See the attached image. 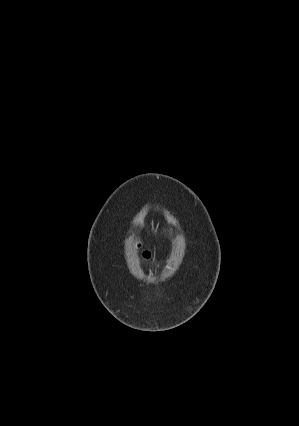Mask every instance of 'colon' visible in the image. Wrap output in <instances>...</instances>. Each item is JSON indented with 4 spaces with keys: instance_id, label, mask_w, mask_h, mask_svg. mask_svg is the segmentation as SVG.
<instances>
[{
    "instance_id": "colon-1",
    "label": "colon",
    "mask_w": 299,
    "mask_h": 426,
    "mask_svg": "<svg viewBox=\"0 0 299 426\" xmlns=\"http://www.w3.org/2000/svg\"><path fill=\"white\" fill-rule=\"evenodd\" d=\"M149 255H150V254H149V252H145V253H144V257H145V258H149Z\"/></svg>"
}]
</instances>
